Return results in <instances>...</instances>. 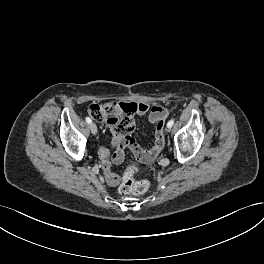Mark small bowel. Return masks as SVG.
I'll use <instances>...</instances> for the list:
<instances>
[{
    "instance_id": "obj_1",
    "label": "small bowel",
    "mask_w": 264,
    "mask_h": 264,
    "mask_svg": "<svg viewBox=\"0 0 264 264\" xmlns=\"http://www.w3.org/2000/svg\"><path fill=\"white\" fill-rule=\"evenodd\" d=\"M135 104L137 105L136 113L139 115L148 114L149 121L153 125H157L160 121H164L168 117L169 111L163 106L150 105L147 103ZM162 147L163 145H157L154 143L150 149L144 150L131 136L113 131L111 149L102 146L98 151L108 184L116 186L119 183V177L112 171L111 166L112 164H120L123 161L124 150L126 148H129L142 162L148 163L160 153Z\"/></svg>"
}]
</instances>
